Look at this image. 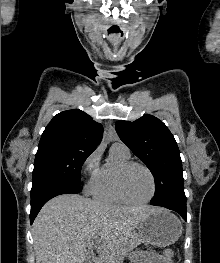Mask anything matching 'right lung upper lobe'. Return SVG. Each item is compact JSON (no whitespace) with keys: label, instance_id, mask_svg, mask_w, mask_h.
<instances>
[{"label":"right lung upper lobe","instance_id":"1","mask_svg":"<svg viewBox=\"0 0 220 263\" xmlns=\"http://www.w3.org/2000/svg\"><path fill=\"white\" fill-rule=\"evenodd\" d=\"M103 126L85 112L72 109L58 113L44 130L38 151L74 149L93 152L100 144Z\"/></svg>","mask_w":220,"mask_h":263}]
</instances>
